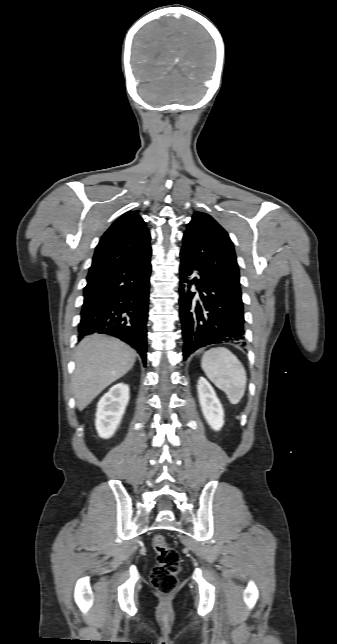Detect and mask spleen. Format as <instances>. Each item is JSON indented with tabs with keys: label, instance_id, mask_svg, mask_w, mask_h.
<instances>
[{
	"label": "spleen",
	"instance_id": "obj_1",
	"mask_svg": "<svg viewBox=\"0 0 337 644\" xmlns=\"http://www.w3.org/2000/svg\"><path fill=\"white\" fill-rule=\"evenodd\" d=\"M201 367L209 380L225 392L231 404H238L246 389V371L238 358L226 348L204 353Z\"/></svg>",
	"mask_w": 337,
	"mask_h": 644
}]
</instances>
